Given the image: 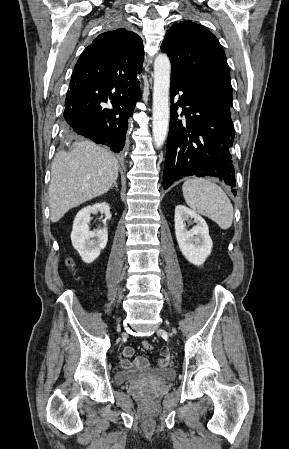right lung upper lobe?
I'll list each match as a JSON object with an SVG mask.
<instances>
[{"label":"right lung upper lobe","mask_w":289,"mask_h":449,"mask_svg":"<svg viewBox=\"0 0 289 449\" xmlns=\"http://www.w3.org/2000/svg\"><path fill=\"white\" fill-rule=\"evenodd\" d=\"M142 39L119 28L100 34L80 55L72 77L90 82H119L136 78L142 71Z\"/></svg>","instance_id":"obj_1"}]
</instances>
